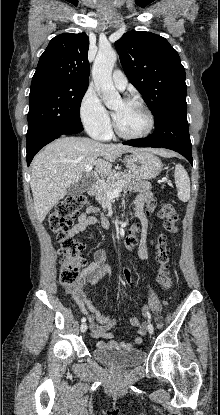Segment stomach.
Here are the masks:
<instances>
[{
  "instance_id": "stomach-1",
  "label": "stomach",
  "mask_w": 220,
  "mask_h": 415,
  "mask_svg": "<svg viewBox=\"0 0 220 415\" xmlns=\"http://www.w3.org/2000/svg\"><path fill=\"white\" fill-rule=\"evenodd\" d=\"M124 164L133 174L141 179H152L162 170L161 160L147 150L132 152L123 159Z\"/></svg>"
}]
</instances>
